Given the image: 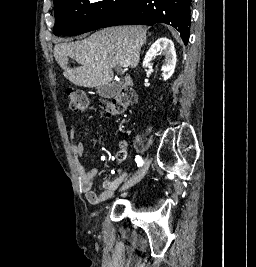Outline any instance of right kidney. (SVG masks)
<instances>
[{
  "label": "right kidney",
  "mask_w": 256,
  "mask_h": 267,
  "mask_svg": "<svg viewBox=\"0 0 256 267\" xmlns=\"http://www.w3.org/2000/svg\"><path fill=\"white\" fill-rule=\"evenodd\" d=\"M157 52H164L166 56L162 66V76L163 80H169L172 74H174L176 66V52L172 40H168V38H159V40H156L151 48H149L144 58L143 66H147L157 56Z\"/></svg>",
  "instance_id": "1"
}]
</instances>
